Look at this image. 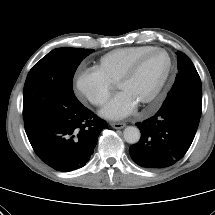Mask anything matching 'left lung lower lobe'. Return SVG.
Masks as SVG:
<instances>
[{"mask_svg":"<svg viewBox=\"0 0 215 215\" xmlns=\"http://www.w3.org/2000/svg\"><path fill=\"white\" fill-rule=\"evenodd\" d=\"M201 106L186 97H167L154 116L136 123L141 138L129 149L132 160L148 169L169 167L180 160L194 139Z\"/></svg>","mask_w":215,"mask_h":215,"instance_id":"0a47b994","label":"left lung lower lobe"}]
</instances>
